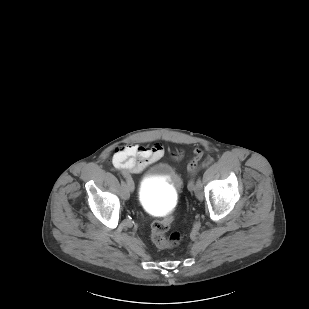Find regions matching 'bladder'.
Masks as SVG:
<instances>
[{"instance_id": "1", "label": "bladder", "mask_w": 309, "mask_h": 309, "mask_svg": "<svg viewBox=\"0 0 309 309\" xmlns=\"http://www.w3.org/2000/svg\"><path fill=\"white\" fill-rule=\"evenodd\" d=\"M181 177L173 166L165 162H154L146 167L138 188V198L148 211L162 210L170 215L171 206Z\"/></svg>"}]
</instances>
